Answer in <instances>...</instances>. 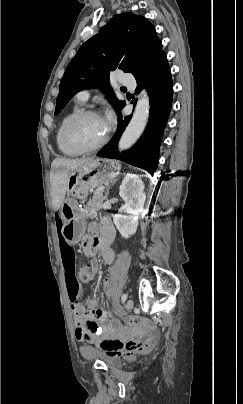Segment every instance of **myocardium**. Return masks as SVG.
I'll return each mask as SVG.
<instances>
[{
  "label": "myocardium",
  "instance_id": "myocardium-1",
  "mask_svg": "<svg viewBox=\"0 0 243 404\" xmlns=\"http://www.w3.org/2000/svg\"><path fill=\"white\" fill-rule=\"evenodd\" d=\"M76 97H77V95H76ZM87 116L100 117L99 114L95 110L87 109V108L80 109V110L76 111L75 113H73L65 121V123H64V125L62 127V131H61L62 139L67 145H69V146H71V147H73V148H75V149H77V150H79L81 152H84V153L97 151V150L101 149L108 141V136L105 134L104 138L99 143H97L96 145L86 146V145L81 144L77 140H75L70 135L71 127L77 121H79L80 119H82L84 117H87Z\"/></svg>",
  "mask_w": 243,
  "mask_h": 404
}]
</instances>
